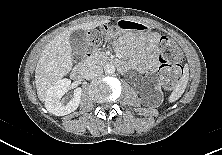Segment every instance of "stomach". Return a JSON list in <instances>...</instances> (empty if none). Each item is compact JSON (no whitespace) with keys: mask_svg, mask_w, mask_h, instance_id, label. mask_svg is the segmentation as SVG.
I'll list each match as a JSON object with an SVG mask.
<instances>
[{"mask_svg":"<svg viewBox=\"0 0 222 155\" xmlns=\"http://www.w3.org/2000/svg\"><path fill=\"white\" fill-rule=\"evenodd\" d=\"M150 26L130 19H120L115 25L103 29V36L107 40L117 39L126 41L133 46H145L150 35Z\"/></svg>","mask_w":222,"mask_h":155,"instance_id":"1","label":"stomach"}]
</instances>
